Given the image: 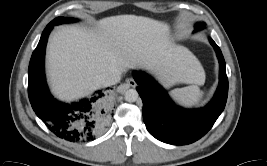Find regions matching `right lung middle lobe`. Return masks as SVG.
I'll use <instances>...</instances> for the list:
<instances>
[{"mask_svg": "<svg viewBox=\"0 0 267 166\" xmlns=\"http://www.w3.org/2000/svg\"><path fill=\"white\" fill-rule=\"evenodd\" d=\"M75 21L76 20L73 18L58 17L54 19L51 23L53 25H58V24L66 23V22H75Z\"/></svg>", "mask_w": 267, "mask_h": 166, "instance_id": "1", "label": "right lung middle lobe"}]
</instances>
